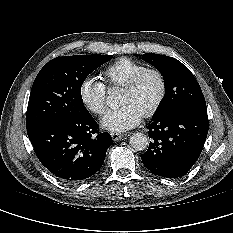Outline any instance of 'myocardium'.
Masks as SVG:
<instances>
[{"instance_id":"obj_1","label":"myocardium","mask_w":233,"mask_h":233,"mask_svg":"<svg viewBox=\"0 0 233 233\" xmlns=\"http://www.w3.org/2000/svg\"><path fill=\"white\" fill-rule=\"evenodd\" d=\"M147 75H155L160 83V91L159 94L154 101V103L149 107V109L143 114L145 118L152 117L163 104L166 95H167V80L165 75L158 69L155 68H146L134 76H132L129 81L123 86V90L131 91L135 89L139 83L142 81L144 77Z\"/></svg>"}]
</instances>
